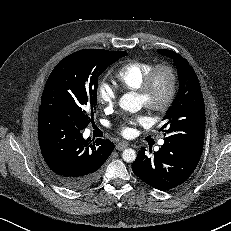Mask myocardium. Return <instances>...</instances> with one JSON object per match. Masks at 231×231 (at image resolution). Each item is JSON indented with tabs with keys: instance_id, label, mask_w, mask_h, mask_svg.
Listing matches in <instances>:
<instances>
[{
	"instance_id": "obj_1",
	"label": "myocardium",
	"mask_w": 231,
	"mask_h": 231,
	"mask_svg": "<svg viewBox=\"0 0 231 231\" xmlns=\"http://www.w3.org/2000/svg\"><path fill=\"white\" fill-rule=\"evenodd\" d=\"M161 72H165L169 79L168 91L165 98L156 102L152 98V91L155 85L157 75ZM178 74L175 68L169 63H159L147 73L142 84L136 90L139 97L143 99V105L156 114L166 113L170 107L173 105L177 93H178Z\"/></svg>"
}]
</instances>
